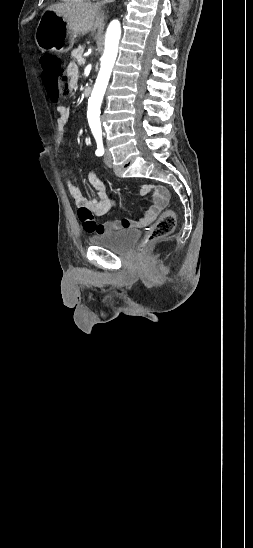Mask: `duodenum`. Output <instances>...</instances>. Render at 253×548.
<instances>
[{
    "mask_svg": "<svg viewBox=\"0 0 253 548\" xmlns=\"http://www.w3.org/2000/svg\"><path fill=\"white\" fill-rule=\"evenodd\" d=\"M91 93H92L91 87H86L84 89V94H85L86 97H89L91 95Z\"/></svg>",
    "mask_w": 253,
    "mask_h": 548,
    "instance_id": "410a0bca",
    "label": "duodenum"
}]
</instances>
